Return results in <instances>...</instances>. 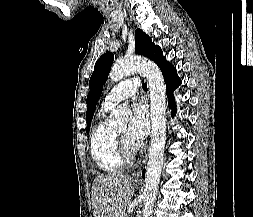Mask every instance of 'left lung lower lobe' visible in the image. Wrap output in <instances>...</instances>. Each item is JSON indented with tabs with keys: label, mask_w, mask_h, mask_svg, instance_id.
<instances>
[{
	"label": "left lung lower lobe",
	"mask_w": 253,
	"mask_h": 217,
	"mask_svg": "<svg viewBox=\"0 0 253 217\" xmlns=\"http://www.w3.org/2000/svg\"><path fill=\"white\" fill-rule=\"evenodd\" d=\"M164 80L166 83V93L168 97L169 108L172 109V116H174L176 108H175V98L173 95V91L181 84V80L177 75L176 68L171 65L168 61L163 62L159 65ZM142 177L145 178V170L142 172Z\"/></svg>",
	"instance_id": "left-lung-lower-lobe-1"
}]
</instances>
